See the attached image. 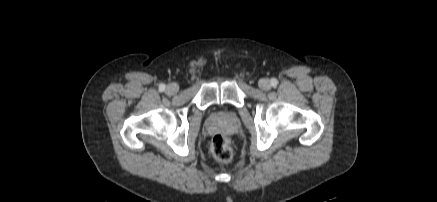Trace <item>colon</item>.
<instances>
[{"label": "colon", "instance_id": "1", "mask_svg": "<svg viewBox=\"0 0 437 202\" xmlns=\"http://www.w3.org/2000/svg\"><path fill=\"white\" fill-rule=\"evenodd\" d=\"M213 157L222 163L230 162L233 158V148L230 139L224 134L214 136L211 144Z\"/></svg>", "mask_w": 437, "mask_h": 202}]
</instances>
